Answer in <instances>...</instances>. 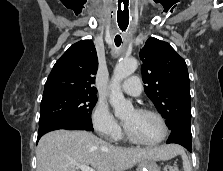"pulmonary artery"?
Wrapping results in <instances>:
<instances>
[{"label": "pulmonary artery", "instance_id": "e3ab8cb5", "mask_svg": "<svg viewBox=\"0 0 223 171\" xmlns=\"http://www.w3.org/2000/svg\"><path fill=\"white\" fill-rule=\"evenodd\" d=\"M121 89L130 96H139L142 92V84L139 77L132 76L128 78L122 83Z\"/></svg>", "mask_w": 223, "mask_h": 171}]
</instances>
